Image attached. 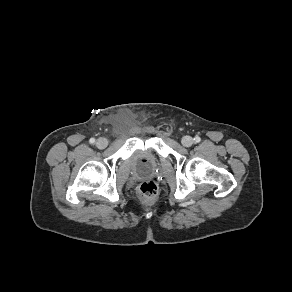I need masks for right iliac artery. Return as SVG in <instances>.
<instances>
[{"label": "right iliac artery", "mask_w": 292, "mask_h": 292, "mask_svg": "<svg viewBox=\"0 0 292 292\" xmlns=\"http://www.w3.org/2000/svg\"><path fill=\"white\" fill-rule=\"evenodd\" d=\"M89 142H90L91 144H93V143H95V139H94V138H91V139L89 140Z\"/></svg>", "instance_id": "right-iliac-artery-1"}]
</instances>
